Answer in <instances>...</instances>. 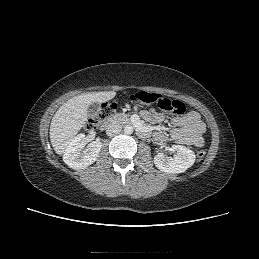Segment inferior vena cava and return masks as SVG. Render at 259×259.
Returning <instances> with one entry per match:
<instances>
[{"label":"inferior vena cava","instance_id":"inferior-vena-cava-1","mask_svg":"<svg viewBox=\"0 0 259 259\" xmlns=\"http://www.w3.org/2000/svg\"><path fill=\"white\" fill-rule=\"evenodd\" d=\"M122 130V126L118 123H110L106 129V134L108 136H114L117 135L118 133H120Z\"/></svg>","mask_w":259,"mask_h":259}]
</instances>
